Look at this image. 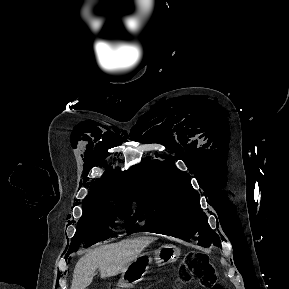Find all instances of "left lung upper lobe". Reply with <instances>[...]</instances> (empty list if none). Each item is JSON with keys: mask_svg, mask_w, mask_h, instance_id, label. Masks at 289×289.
<instances>
[{"mask_svg": "<svg viewBox=\"0 0 289 289\" xmlns=\"http://www.w3.org/2000/svg\"><path fill=\"white\" fill-rule=\"evenodd\" d=\"M149 160L138 172V214L141 221H146L144 230L191 240L199 246H221L201 210L190 176L175 168L172 161Z\"/></svg>", "mask_w": 289, "mask_h": 289, "instance_id": "obj_1", "label": "left lung upper lobe"}]
</instances>
